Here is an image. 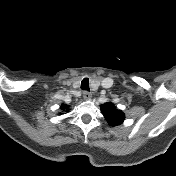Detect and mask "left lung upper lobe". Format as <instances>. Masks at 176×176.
Wrapping results in <instances>:
<instances>
[{
	"instance_id": "obj_1",
	"label": "left lung upper lobe",
	"mask_w": 176,
	"mask_h": 176,
	"mask_svg": "<svg viewBox=\"0 0 176 176\" xmlns=\"http://www.w3.org/2000/svg\"><path fill=\"white\" fill-rule=\"evenodd\" d=\"M102 112L106 120L111 126L120 125L124 121V114L117 110L111 102L101 105Z\"/></svg>"
}]
</instances>
